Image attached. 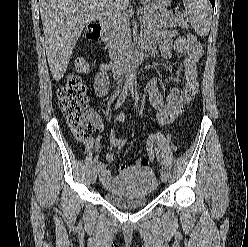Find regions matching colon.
I'll return each instance as SVG.
<instances>
[{
	"label": "colon",
	"mask_w": 248,
	"mask_h": 247,
	"mask_svg": "<svg viewBox=\"0 0 248 247\" xmlns=\"http://www.w3.org/2000/svg\"><path fill=\"white\" fill-rule=\"evenodd\" d=\"M99 33L98 24L96 22L90 23L84 31V37L87 40H96L99 38ZM187 38L189 41L197 40L196 36L192 33H189ZM76 68L83 73L89 70L86 61L81 57L76 60ZM57 98L74 139L81 144L90 145L92 135L91 112L88 105L86 88L81 79L74 74L69 75L66 82L58 89ZM168 123L166 110L159 109L156 125L151 131L146 143L149 162H153L155 159L154 149L159 132Z\"/></svg>",
	"instance_id": "5ec220e1"
}]
</instances>
